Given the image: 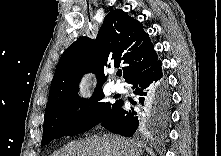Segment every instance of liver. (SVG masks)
Wrapping results in <instances>:
<instances>
[{"mask_svg": "<svg viewBox=\"0 0 221 156\" xmlns=\"http://www.w3.org/2000/svg\"><path fill=\"white\" fill-rule=\"evenodd\" d=\"M142 145L116 135L94 136L72 142L54 156H139Z\"/></svg>", "mask_w": 221, "mask_h": 156, "instance_id": "liver-1", "label": "liver"}]
</instances>
